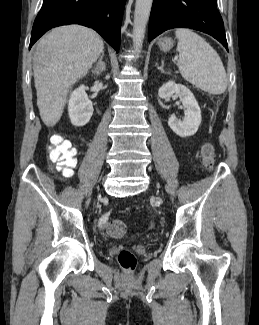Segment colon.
Masks as SVG:
<instances>
[{"label": "colon", "instance_id": "colon-1", "mask_svg": "<svg viewBox=\"0 0 259 325\" xmlns=\"http://www.w3.org/2000/svg\"><path fill=\"white\" fill-rule=\"evenodd\" d=\"M49 157L63 176L70 177L73 174V169L77 164L76 150L69 141L58 135L52 136ZM202 160L207 168L213 166L215 150L212 144L207 143L203 146ZM104 228L112 238H121L126 233V225L121 220L107 218ZM118 262L125 270H133L136 266V257L131 251L123 249L119 252Z\"/></svg>", "mask_w": 259, "mask_h": 325}]
</instances>
